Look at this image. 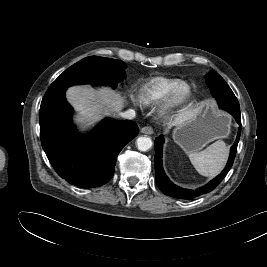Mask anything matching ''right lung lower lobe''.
Masks as SVG:
<instances>
[{
    "mask_svg": "<svg viewBox=\"0 0 267 267\" xmlns=\"http://www.w3.org/2000/svg\"><path fill=\"white\" fill-rule=\"evenodd\" d=\"M65 90L43 99L39 121L42 147L55 171L72 185L89 188L107 183L123 147L139 132L130 120H103L85 137L71 125Z\"/></svg>",
    "mask_w": 267,
    "mask_h": 267,
    "instance_id": "right-lung-lower-lobe-1",
    "label": "right lung lower lobe"
}]
</instances>
